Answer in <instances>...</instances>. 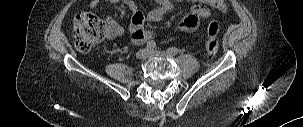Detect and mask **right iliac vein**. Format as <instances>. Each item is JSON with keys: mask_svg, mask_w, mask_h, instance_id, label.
<instances>
[{"mask_svg": "<svg viewBox=\"0 0 303 127\" xmlns=\"http://www.w3.org/2000/svg\"><path fill=\"white\" fill-rule=\"evenodd\" d=\"M148 57V50L147 49H142V50H139L137 53H136V58L139 59V60H144Z\"/></svg>", "mask_w": 303, "mask_h": 127, "instance_id": "1", "label": "right iliac vein"}]
</instances>
